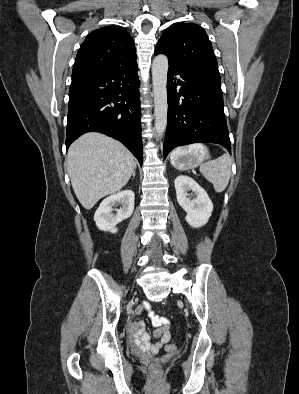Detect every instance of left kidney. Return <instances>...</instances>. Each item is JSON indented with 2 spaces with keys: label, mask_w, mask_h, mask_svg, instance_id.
<instances>
[{
  "label": "left kidney",
  "mask_w": 299,
  "mask_h": 394,
  "mask_svg": "<svg viewBox=\"0 0 299 394\" xmlns=\"http://www.w3.org/2000/svg\"><path fill=\"white\" fill-rule=\"evenodd\" d=\"M176 197L179 205L187 213L185 220L193 228L204 226L213 211V204L206 191L191 177L179 175L175 181ZM192 190L196 198H188L187 191Z\"/></svg>",
  "instance_id": "left-kidney-1"
}]
</instances>
